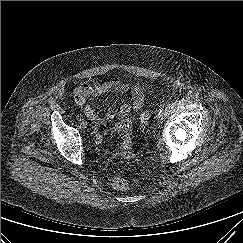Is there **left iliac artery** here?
Segmentation results:
<instances>
[{
  "label": "left iliac artery",
  "mask_w": 243,
  "mask_h": 243,
  "mask_svg": "<svg viewBox=\"0 0 243 243\" xmlns=\"http://www.w3.org/2000/svg\"><path fill=\"white\" fill-rule=\"evenodd\" d=\"M158 115L162 116L163 115V110H160Z\"/></svg>",
  "instance_id": "1"
}]
</instances>
